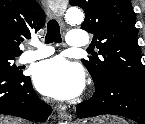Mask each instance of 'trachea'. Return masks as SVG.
I'll return each mask as SVG.
<instances>
[{
    "label": "trachea",
    "instance_id": "trachea-1",
    "mask_svg": "<svg viewBox=\"0 0 145 124\" xmlns=\"http://www.w3.org/2000/svg\"><path fill=\"white\" fill-rule=\"evenodd\" d=\"M60 27L56 20H49L47 24V34L45 37V42L49 43H61Z\"/></svg>",
    "mask_w": 145,
    "mask_h": 124
}]
</instances>
